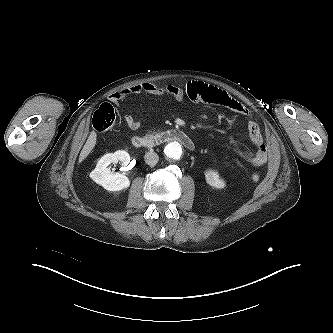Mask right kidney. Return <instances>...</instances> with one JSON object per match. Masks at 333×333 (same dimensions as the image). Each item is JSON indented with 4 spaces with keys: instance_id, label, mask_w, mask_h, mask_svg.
Listing matches in <instances>:
<instances>
[{
    "instance_id": "1",
    "label": "right kidney",
    "mask_w": 333,
    "mask_h": 333,
    "mask_svg": "<svg viewBox=\"0 0 333 333\" xmlns=\"http://www.w3.org/2000/svg\"><path fill=\"white\" fill-rule=\"evenodd\" d=\"M121 162L127 166L130 162V156L126 151L119 150L114 153H108L101 157L96 168L90 173V178L108 191H120L130 186L129 179L119 173L111 172L108 167L111 163Z\"/></svg>"
}]
</instances>
